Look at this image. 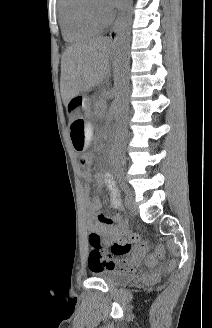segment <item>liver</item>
<instances>
[{"label": "liver", "instance_id": "obj_1", "mask_svg": "<svg viewBox=\"0 0 212 328\" xmlns=\"http://www.w3.org/2000/svg\"><path fill=\"white\" fill-rule=\"evenodd\" d=\"M111 47L109 38L96 37L65 50L61 62V95L65 105L106 78Z\"/></svg>", "mask_w": 212, "mask_h": 328}]
</instances>
